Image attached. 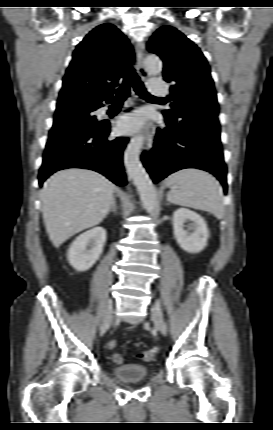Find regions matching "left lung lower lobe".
Segmentation results:
<instances>
[{
	"instance_id": "0a47b994",
	"label": "left lung lower lobe",
	"mask_w": 273,
	"mask_h": 430,
	"mask_svg": "<svg viewBox=\"0 0 273 430\" xmlns=\"http://www.w3.org/2000/svg\"><path fill=\"white\" fill-rule=\"evenodd\" d=\"M165 129H158L151 151L142 161L156 183L184 168H198L216 176L227 191L226 165L220 141V125L214 115H200L188 123L163 112Z\"/></svg>"
}]
</instances>
